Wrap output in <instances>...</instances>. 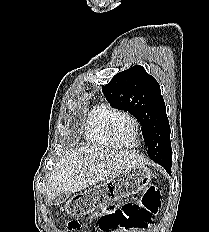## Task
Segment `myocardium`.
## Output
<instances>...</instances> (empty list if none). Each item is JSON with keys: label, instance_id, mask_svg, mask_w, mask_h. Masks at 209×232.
<instances>
[{"label": "myocardium", "instance_id": "myocardium-1", "mask_svg": "<svg viewBox=\"0 0 209 232\" xmlns=\"http://www.w3.org/2000/svg\"><path fill=\"white\" fill-rule=\"evenodd\" d=\"M122 118H127L129 119L133 125H134V132H133V138L136 139L137 135H138V132H139V128H140V124L137 120V118L132 115L131 113L129 112H124V111H120L118 114H116L110 121L109 125H108V135H109V138L110 140L112 141V143L117 146V147H120V148H131V145H123L122 143H120L116 137H115V134L113 132V127H114V124L122 119Z\"/></svg>", "mask_w": 209, "mask_h": 232}]
</instances>
